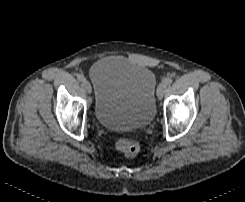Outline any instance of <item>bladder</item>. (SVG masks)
Returning <instances> with one entry per match:
<instances>
[{
  "label": "bladder",
  "instance_id": "31cf9c89",
  "mask_svg": "<svg viewBox=\"0 0 245 202\" xmlns=\"http://www.w3.org/2000/svg\"><path fill=\"white\" fill-rule=\"evenodd\" d=\"M90 79L94 86L93 114L101 126L132 131L152 123L157 79L150 68L117 59L102 61L93 65Z\"/></svg>",
  "mask_w": 245,
  "mask_h": 202
}]
</instances>
